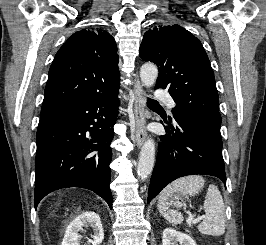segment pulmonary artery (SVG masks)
<instances>
[{"label": "pulmonary artery", "instance_id": "e3ab8cb5", "mask_svg": "<svg viewBox=\"0 0 266 245\" xmlns=\"http://www.w3.org/2000/svg\"><path fill=\"white\" fill-rule=\"evenodd\" d=\"M158 95H159L158 100L167 101L166 104L170 109H173L175 107V103L172 99L167 100L166 91H159Z\"/></svg>", "mask_w": 266, "mask_h": 245}]
</instances>
